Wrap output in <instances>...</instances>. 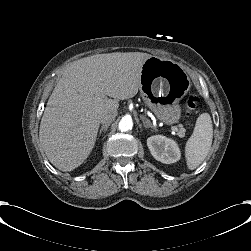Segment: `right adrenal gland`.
<instances>
[{
  "mask_svg": "<svg viewBox=\"0 0 251 251\" xmlns=\"http://www.w3.org/2000/svg\"><path fill=\"white\" fill-rule=\"evenodd\" d=\"M107 129H108V125H103V126L101 127L100 131H99V136L101 135V133H102L103 131L106 132Z\"/></svg>",
  "mask_w": 251,
  "mask_h": 251,
  "instance_id": "right-adrenal-gland-1",
  "label": "right adrenal gland"
}]
</instances>
